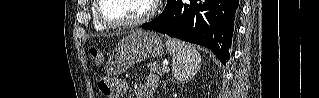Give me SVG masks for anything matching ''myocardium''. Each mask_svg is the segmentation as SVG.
Listing matches in <instances>:
<instances>
[{"label": "myocardium", "mask_w": 319, "mask_h": 98, "mask_svg": "<svg viewBox=\"0 0 319 98\" xmlns=\"http://www.w3.org/2000/svg\"><path fill=\"white\" fill-rule=\"evenodd\" d=\"M104 0H97V5L95 9L96 17L98 21L108 28H133L140 26L146 22H148L156 13L158 9L157 0H148V10L139 18L130 21H111L108 20L102 13V4Z\"/></svg>", "instance_id": "f54148a6"}]
</instances>
